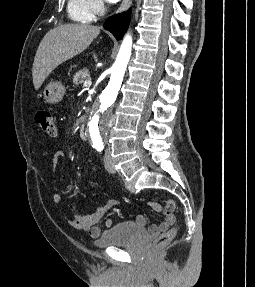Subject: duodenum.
Here are the masks:
<instances>
[{"label":"duodenum","instance_id":"410a0bca","mask_svg":"<svg viewBox=\"0 0 255 287\" xmlns=\"http://www.w3.org/2000/svg\"><path fill=\"white\" fill-rule=\"evenodd\" d=\"M79 135H80L81 139H83V140H87L88 139V130H87V127L85 125H82L80 127Z\"/></svg>","mask_w":255,"mask_h":287}]
</instances>
